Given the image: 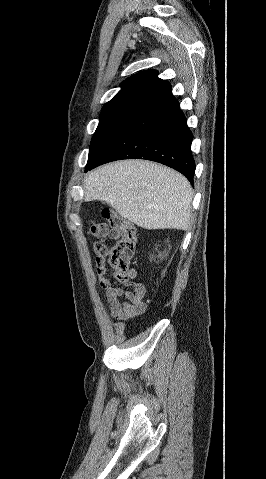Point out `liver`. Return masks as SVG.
<instances>
[{"label": "liver", "mask_w": 266, "mask_h": 479, "mask_svg": "<svg viewBox=\"0 0 266 479\" xmlns=\"http://www.w3.org/2000/svg\"><path fill=\"white\" fill-rule=\"evenodd\" d=\"M193 191L177 171L144 160L110 163L84 178V200H101L147 230H188Z\"/></svg>", "instance_id": "6515ba94"}]
</instances>
